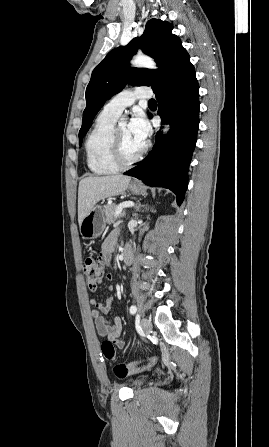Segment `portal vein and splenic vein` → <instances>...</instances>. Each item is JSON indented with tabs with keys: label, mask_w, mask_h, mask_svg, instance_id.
Returning <instances> with one entry per match:
<instances>
[{
	"label": "portal vein and splenic vein",
	"mask_w": 269,
	"mask_h": 447,
	"mask_svg": "<svg viewBox=\"0 0 269 447\" xmlns=\"http://www.w3.org/2000/svg\"><path fill=\"white\" fill-rule=\"evenodd\" d=\"M127 206H134V202H121L117 205V216H119L120 212L127 208ZM115 220H118V217H115Z\"/></svg>",
	"instance_id": "portal-vein-and-splenic-vein-1"
}]
</instances>
